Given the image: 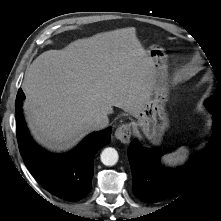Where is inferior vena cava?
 I'll return each instance as SVG.
<instances>
[{
    "instance_id": "inferior-vena-cava-1",
    "label": "inferior vena cava",
    "mask_w": 221,
    "mask_h": 221,
    "mask_svg": "<svg viewBox=\"0 0 221 221\" xmlns=\"http://www.w3.org/2000/svg\"><path fill=\"white\" fill-rule=\"evenodd\" d=\"M93 130L103 129L108 126L109 119L107 113H97L89 122Z\"/></svg>"
}]
</instances>
